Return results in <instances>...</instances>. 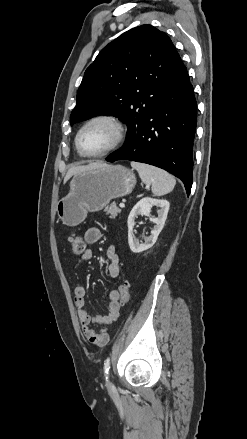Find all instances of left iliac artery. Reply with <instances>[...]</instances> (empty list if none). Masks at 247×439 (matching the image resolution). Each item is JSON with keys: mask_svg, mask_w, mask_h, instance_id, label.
<instances>
[{"mask_svg": "<svg viewBox=\"0 0 247 439\" xmlns=\"http://www.w3.org/2000/svg\"><path fill=\"white\" fill-rule=\"evenodd\" d=\"M109 370H110V357H108L104 362V373H105L106 379H107Z\"/></svg>", "mask_w": 247, "mask_h": 439, "instance_id": "1", "label": "left iliac artery"}]
</instances>
